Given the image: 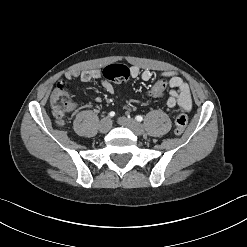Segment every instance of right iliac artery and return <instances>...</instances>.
Listing matches in <instances>:
<instances>
[{"label":"right iliac artery","instance_id":"82829eb1","mask_svg":"<svg viewBox=\"0 0 247 247\" xmlns=\"http://www.w3.org/2000/svg\"><path fill=\"white\" fill-rule=\"evenodd\" d=\"M114 115H115V112L113 111L108 114L109 117H113Z\"/></svg>","mask_w":247,"mask_h":247}]
</instances>
